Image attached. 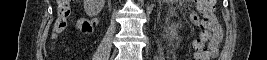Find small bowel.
Returning <instances> with one entry per match:
<instances>
[{"label":"small bowel","mask_w":267,"mask_h":60,"mask_svg":"<svg viewBox=\"0 0 267 60\" xmlns=\"http://www.w3.org/2000/svg\"><path fill=\"white\" fill-rule=\"evenodd\" d=\"M190 18L195 25L202 28L201 20L195 12L191 13ZM86 22L92 25V29L89 30L86 28H82L83 24ZM97 22V18L82 19L80 20L79 25L82 32L90 34L93 31V27L97 24ZM198 38H200L203 42H208V59L214 58L219 54L223 39V30L218 20L214 16L210 19L207 29L201 31ZM195 40L193 41L194 47L196 45Z\"/></svg>","instance_id":"small-bowel-1"}]
</instances>
